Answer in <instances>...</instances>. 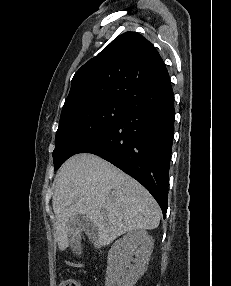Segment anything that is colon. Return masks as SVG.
<instances>
[{"label":"colon","mask_w":231,"mask_h":286,"mask_svg":"<svg viewBox=\"0 0 231 286\" xmlns=\"http://www.w3.org/2000/svg\"><path fill=\"white\" fill-rule=\"evenodd\" d=\"M59 286H82V283L76 278H67L62 280Z\"/></svg>","instance_id":"colon-1"}]
</instances>
